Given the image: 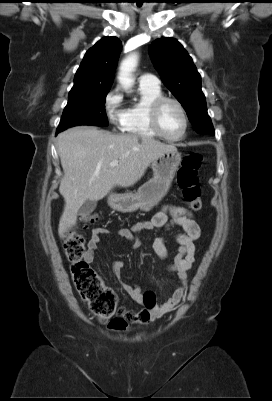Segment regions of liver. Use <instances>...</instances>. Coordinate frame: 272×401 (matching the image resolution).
<instances>
[{
    "label": "liver",
    "mask_w": 272,
    "mask_h": 401,
    "mask_svg": "<svg viewBox=\"0 0 272 401\" xmlns=\"http://www.w3.org/2000/svg\"><path fill=\"white\" fill-rule=\"evenodd\" d=\"M64 176L59 192L65 201L58 227L60 238L76 224L86 200H100L116 186L137 183L150 163L165 152L176 150L149 137L116 135L94 126H76L57 137ZM118 160V166L110 163Z\"/></svg>",
    "instance_id": "1"
}]
</instances>
